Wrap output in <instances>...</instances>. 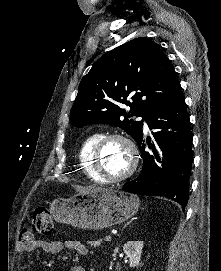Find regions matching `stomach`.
Wrapping results in <instances>:
<instances>
[{
	"instance_id": "stomach-1",
	"label": "stomach",
	"mask_w": 221,
	"mask_h": 271,
	"mask_svg": "<svg viewBox=\"0 0 221 271\" xmlns=\"http://www.w3.org/2000/svg\"><path fill=\"white\" fill-rule=\"evenodd\" d=\"M140 199L134 193L115 187L110 191H91L79 197H56L51 209L57 221L80 229H103L126 221L139 209Z\"/></svg>"
}]
</instances>
